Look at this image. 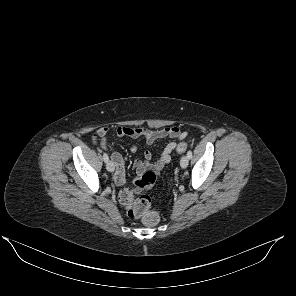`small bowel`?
<instances>
[{
  "instance_id": "1",
  "label": "small bowel",
  "mask_w": 296,
  "mask_h": 296,
  "mask_svg": "<svg viewBox=\"0 0 296 296\" xmlns=\"http://www.w3.org/2000/svg\"><path fill=\"white\" fill-rule=\"evenodd\" d=\"M109 132L108 127H102L96 131L93 135V141L95 143H99V145L103 148L108 147L107 143V134ZM116 134L121 137H130L133 139L142 138L148 145L154 144L159 139H176L182 140L187 136L186 131H182L177 126H170L165 127L162 129L151 130L147 128H131V127H118L116 129ZM176 142L172 141L169 142L163 150L160 151L158 157L155 161H152V153L148 150L144 151L143 153V160H135L133 163V167L135 168L136 172L140 175L146 170H152L155 173H160L165 166L171 160V153L176 148ZM132 152L137 151V146H132ZM111 159L115 164L116 170L113 175V183L117 186L124 184L125 182V161L123 157L114 152L111 154ZM132 193H136L137 190H131Z\"/></svg>"
}]
</instances>
